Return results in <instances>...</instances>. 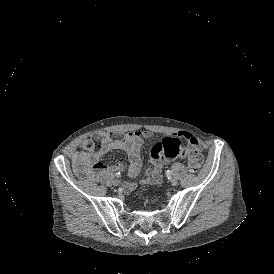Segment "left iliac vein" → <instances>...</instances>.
<instances>
[{"mask_svg":"<svg viewBox=\"0 0 274 274\" xmlns=\"http://www.w3.org/2000/svg\"><path fill=\"white\" fill-rule=\"evenodd\" d=\"M170 183L172 186H176L178 184V179L176 177L171 178Z\"/></svg>","mask_w":274,"mask_h":274,"instance_id":"left-iliac-vein-1","label":"left iliac vein"}]
</instances>
